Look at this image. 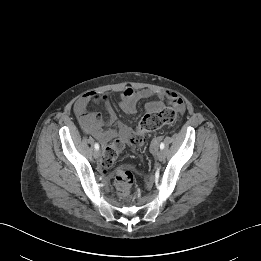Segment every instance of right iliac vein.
<instances>
[{"label":"right iliac vein","mask_w":261,"mask_h":261,"mask_svg":"<svg viewBox=\"0 0 261 261\" xmlns=\"http://www.w3.org/2000/svg\"><path fill=\"white\" fill-rule=\"evenodd\" d=\"M93 155H94V158L98 159L100 157L101 153L99 150H95Z\"/></svg>","instance_id":"63e3f726"}]
</instances>
